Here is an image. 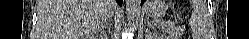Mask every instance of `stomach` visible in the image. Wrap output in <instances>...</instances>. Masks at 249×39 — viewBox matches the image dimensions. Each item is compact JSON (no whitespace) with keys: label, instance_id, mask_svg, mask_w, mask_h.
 <instances>
[{"label":"stomach","instance_id":"obj_1","mask_svg":"<svg viewBox=\"0 0 249 39\" xmlns=\"http://www.w3.org/2000/svg\"><path fill=\"white\" fill-rule=\"evenodd\" d=\"M167 9L168 5L163 0H151L145 6L146 13L154 18L163 17Z\"/></svg>","mask_w":249,"mask_h":39}]
</instances>
